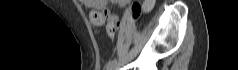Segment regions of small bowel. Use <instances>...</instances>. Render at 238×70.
I'll list each match as a JSON object with an SVG mask.
<instances>
[{"instance_id":"obj_1","label":"small bowel","mask_w":238,"mask_h":70,"mask_svg":"<svg viewBox=\"0 0 238 70\" xmlns=\"http://www.w3.org/2000/svg\"><path fill=\"white\" fill-rule=\"evenodd\" d=\"M112 3L123 6L124 0H111ZM82 3L90 9V21L94 26H102L108 19H119V16L110 13L107 6V0H82Z\"/></svg>"}]
</instances>
